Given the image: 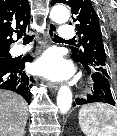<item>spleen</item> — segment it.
Wrapping results in <instances>:
<instances>
[{
  "instance_id": "obj_1",
  "label": "spleen",
  "mask_w": 117,
  "mask_h": 136,
  "mask_svg": "<svg viewBox=\"0 0 117 136\" xmlns=\"http://www.w3.org/2000/svg\"><path fill=\"white\" fill-rule=\"evenodd\" d=\"M78 119L86 136H117V112L105 103L84 105Z\"/></svg>"
}]
</instances>
